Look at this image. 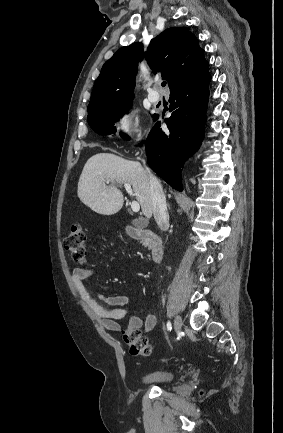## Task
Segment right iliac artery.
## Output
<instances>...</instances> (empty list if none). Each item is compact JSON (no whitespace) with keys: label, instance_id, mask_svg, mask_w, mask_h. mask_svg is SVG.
<instances>
[{"label":"right iliac artery","instance_id":"82829eb1","mask_svg":"<svg viewBox=\"0 0 283 433\" xmlns=\"http://www.w3.org/2000/svg\"><path fill=\"white\" fill-rule=\"evenodd\" d=\"M167 329H168V331H171V329H172V326H171L170 322L167 323Z\"/></svg>","mask_w":283,"mask_h":433}]
</instances>
